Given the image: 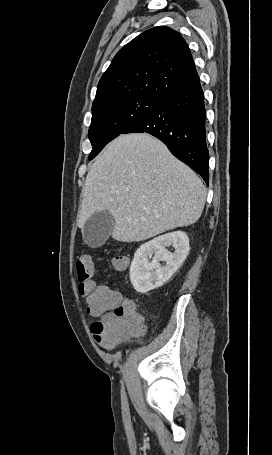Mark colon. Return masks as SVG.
I'll return each mask as SVG.
<instances>
[{
	"instance_id": "colon-1",
	"label": "colon",
	"mask_w": 272,
	"mask_h": 455,
	"mask_svg": "<svg viewBox=\"0 0 272 455\" xmlns=\"http://www.w3.org/2000/svg\"><path fill=\"white\" fill-rule=\"evenodd\" d=\"M125 265L126 260L121 256L112 260L115 269H122ZM76 270L78 292L86 303L88 313L97 317L91 324V333L100 346L112 348L121 339L144 331L134 303L123 301L118 292L92 280L95 264L90 255L79 256Z\"/></svg>"
}]
</instances>
